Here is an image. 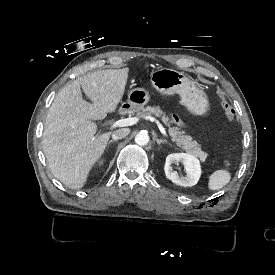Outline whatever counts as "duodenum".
I'll list each match as a JSON object with an SVG mask.
<instances>
[{
    "label": "duodenum",
    "mask_w": 275,
    "mask_h": 275,
    "mask_svg": "<svg viewBox=\"0 0 275 275\" xmlns=\"http://www.w3.org/2000/svg\"><path fill=\"white\" fill-rule=\"evenodd\" d=\"M130 108H131V106H129V105H122L118 110V114L124 115L126 112H128L130 110Z\"/></svg>",
    "instance_id": "410a0bca"
}]
</instances>
